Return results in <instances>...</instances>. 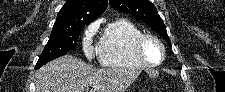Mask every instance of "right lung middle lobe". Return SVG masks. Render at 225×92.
<instances>
[{
	"label": "right lung middle lobe",
	"mask_w": 225,
	"mask_h": 92,
	"mask_svg": "<svg viewBox=\"0 0 225 92\" xmlns=\"http://www.w3.org/2000/svg\"><path fill=\"white\" fill-rule=\"evenodd\" d=\"M87 23L77 22L71 27H53L48 43L39 57L35 69H39L47 62L65 55L76 48L79 34Z\"/></svg>",
	"instance_id": "obj_1"
}]
</instances>
